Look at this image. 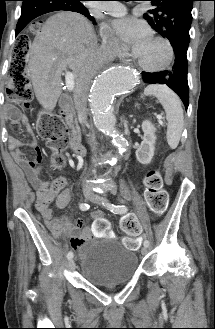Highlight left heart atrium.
Instances as JSON below:
<instances>
[{"mask_svg": "<svg viewBox=\"0 0 215 329\" xmlns=\"http://www.w3.org/2000/svg\"><path fill=\"white\" fill-rule=\"evenodd\" d=\"M114 30L122 42L130 46L134 53L142 50L151 40L148 25L133 17H124L113 22Z\"/></svg>", "mask_w": 215, "mask_h": 329, "instance_id": "obj_1", "label": "left heart atrium"}]
</instances>
